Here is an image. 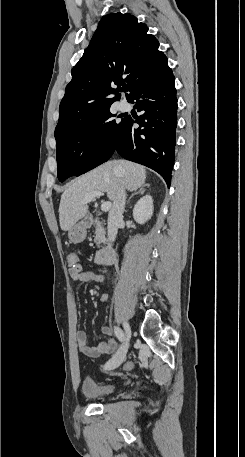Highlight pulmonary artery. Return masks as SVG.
<instances>
[{
	"mask_svg": "<svg viewBox=\"0 0 245 457\" xmlns=\"http://www.w3.org/2000/svg\"><path fill=\"white\" fill-rule=\"evenodd\" d=\"M118 109L122 112H128L131 109V105L126 100H123L118 104Z\"/></svg>",
	"mask_w": 245,
	"mask_h": 457,
	"instance_id": "obj_1",
	"label": "pulmonary artery"
}]
</instances>
